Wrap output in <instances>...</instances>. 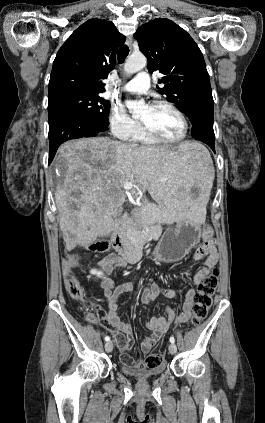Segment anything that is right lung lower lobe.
I'll return each mask as SVG.
<instances>
[{
    "mask_svg": "<svg viewBox=\"0 0 265 423\" xmlns=\"http://www.w3.org/2000/svg\"><path fill=\"white\" fill-rule=\"evenodd\" d=\"M108 128L79 112L61 110L49 114V164L65 141L94 137Z\"/></svg>",
    "mask_w": 265,
    "mask_h": 423,
    "instance_id": "98d812e1",
    "label": "right lung lower lobe"
}]
</instances>
